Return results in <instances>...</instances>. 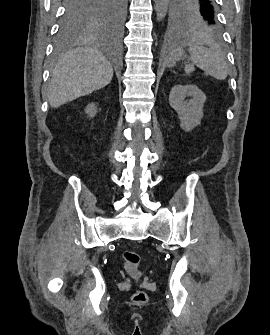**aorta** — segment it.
<instances>
[{"mask_svg": "<svg viewBox=\"0 0 270 335\" xmlns=\"http://www.w3.org/2000/svg\"><path fill=\"white\" fill-rule=\"evenodd\" d=\"M154 2L155 10L157 12V20H162V18H165L166 16L169 0H154Z\"/></svg>", "mask_w": 270, "mask_h": 335, "instance_id": "obj_1", "label": "aorta"}]
</instances>
